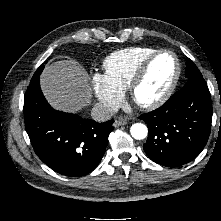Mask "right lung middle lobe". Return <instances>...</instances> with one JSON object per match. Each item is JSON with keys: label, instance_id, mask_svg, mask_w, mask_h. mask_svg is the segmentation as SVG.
I'll return each instance as SVG.
<instances>
[{"label": "right lung middle lobe", "instance_id": "right-lung-middle-lobe-1", "mask_svg": "<svg viewBox=\"0 0 221 221\" xmlns=\"http://www.w3.org/2000/svg\"><path fill=\"white\" fill-rule=\"evenodd\" d=\"M43 68H44V65H41V66L37 69V71H36L35 73H36V74H41Z\"/></svg>", "mask_w": 221, "mask_h": 221}]
</instances>
